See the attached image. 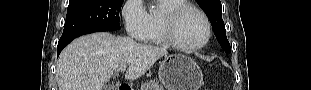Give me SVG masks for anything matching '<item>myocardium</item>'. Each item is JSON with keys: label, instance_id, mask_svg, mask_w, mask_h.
Listing matches in <instances>:
<instances>
[{"label": "myocardium", "instance_id": "1", "mask_svg": "<svg viewBox=\"0 0 311 90\" xmlns=\"http://www.w3.org/2000/svg\"><path fill=\"white\" fill-rule=\"evenodd\" d=\"M188 11H193L197 13L204 21L206 28V35L204 40L199 44L193 46L183 45L178 40L176 34V29L181 17ZM161 27L166 44L181 52H194L201 50L208 44L212 34L211 23L207 15L202 10L191 4H183L165 12L161 19Z\"/></svg>", "mask_w": 311, "mask_h": 90}]
</instances>
